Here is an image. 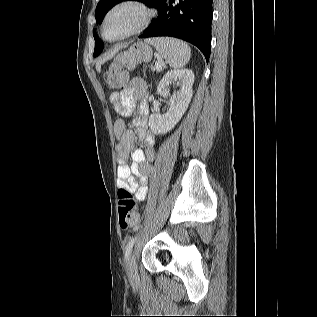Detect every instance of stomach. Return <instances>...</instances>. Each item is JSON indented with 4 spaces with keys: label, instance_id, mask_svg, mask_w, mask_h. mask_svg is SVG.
Masks as SVG:
<instances>
[{
    "label": "stomach",
    "instance_id": "0dacf381",
    "mask_svg": "<svg viewBox=\"0 0 317 317\" xmlns=\"http://www.w3.org/2000/svg\"><path fill=\"white\" fill-rule=\"evenodd\" d=\"M116 57H124V64L127 68H132L135 65L144 66L152 58L151 47L142 42L134 43L128 50L119 53Z\"/></svg>",
    "mask_w": 317,
    "mask_h": 317
}]
</instances>
